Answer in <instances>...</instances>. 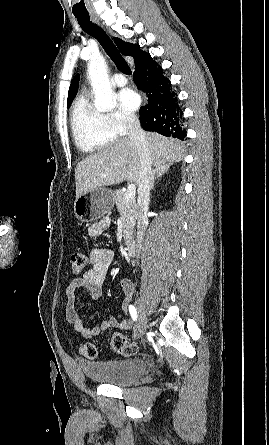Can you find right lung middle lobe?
Returning a JSON list of instances; mask_svg holds the SVG:
<instances>
[{"label": "right lung middle lobe", "mask_w": 269, "mask_h": 445, "mask_svg": "<svg viewBox=\"0 0 269 445\" xmlns=\"http://www.w3.org/2000/svg\"><path fill=\"white\" fill-rule=\"evenodd\" d=\"M70 104H71V101L68 102V107L70 106Z\"/></svg>", "instance_id": "1"}]
</instances>
